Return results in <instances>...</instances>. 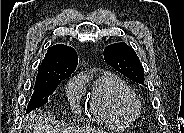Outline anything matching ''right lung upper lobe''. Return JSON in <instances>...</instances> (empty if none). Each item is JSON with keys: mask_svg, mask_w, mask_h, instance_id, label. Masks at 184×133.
Listing matches in <instances>:
<instances>
[{"mask_svg": "<svg viewBox=\"0 0 184 133\" xmlns=\"http://www.w3.org/2000/svg\"><path fill=\"white\" fill-rule=\"evenodd\" d=\"M77 64L78 55L72 47L61 44L50 47L38 67L35 87H44L56 79L68 78Z\"/></svg>", "mask_w": 184, "mask_h": 133, "instance_id": "right-lung-upper-lobe-1", "label": "right lung upper lobe"}]
</instances>
